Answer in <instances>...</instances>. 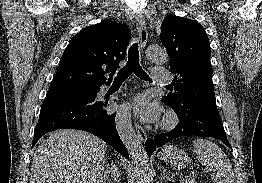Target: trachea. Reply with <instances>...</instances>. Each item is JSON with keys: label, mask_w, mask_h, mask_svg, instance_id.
<instances>
[{"label": "trachea", "mask_w": 262, "mask_h": 183, "mask_svg": "<svg viewBox=\"0 0 262 183\" xmlns=\"http://www.w3.org/2000/svg\"><path fill=\"white\" fill-rule=\"evenodd\" d=\"M132 73L142 80L151 82V78L142 69L139 63L138 43H134L128 51V62L119 70L114 82H124Z\"/></svg>", "instance_id": "3493384b"}]
</instances>
